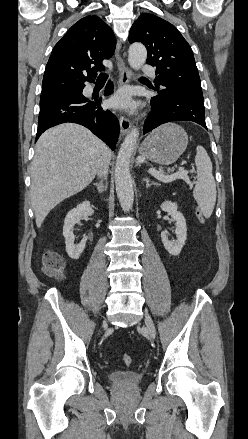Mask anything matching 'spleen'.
Here are the masks:
<instances>
[{
    "label": "spleen",
    "instance_id": "spleen-1",
    "mask_svg": "<svg viewBox=\"0 0 248 439\" xmlns=\"http://www.w3.org/2000/svg\"><path fill=\"white\" fill-rule=\"evenodd\" d=\"M195 165L197 167V183L193 196L204 217L209 218L216 203V184L212 174V163L202 146L196 147Z\"/></svg>",
    "mask_w": 248,
    "mask_h": 439
}]
</instances>
